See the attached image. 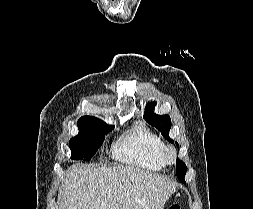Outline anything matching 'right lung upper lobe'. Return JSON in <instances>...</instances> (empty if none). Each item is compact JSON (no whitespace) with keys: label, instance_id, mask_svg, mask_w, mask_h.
I'll list each match as a JSON object with an SVG mask.
<instances>
[{"label":"right lung upper lobe","instance_id":"cb5924a9","mask_svg":"<svg viewBox=\"0 0 253 209\" xmlns=\"http://www.w3.org/2000/svg\"><path fill=\"white\" fill-rule=\"evenodd\" d=\"M89 117H93V116H83L80 119L89 118Z\"/></svg>","mask_w":253,"mask_h":209}]
</instances>
